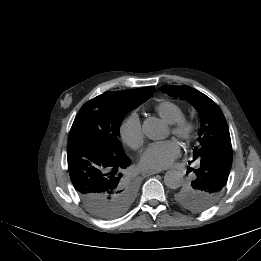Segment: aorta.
Instances as JSON below:
<instances>
[{
    "mask_svg": "<svg viewBox=\"0 0 261 261\" xmlns=\"http://www.w3.org/2000/svg\"><path fill=\"white\" fill-rule=\"evenodd\" d=\"M166 126L157 118H148L143 123V133L151 140H159L164 137ZM164 183L170 189H177L182 184V174L177 170L167 171Z\"/></svg>",
    "mask_w": 261,
    "mask_h": 261,
    "instance_id": "aorta-1",
    "label": "aorta"
}]
</instances>
